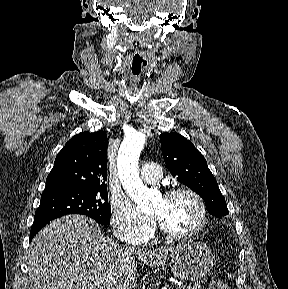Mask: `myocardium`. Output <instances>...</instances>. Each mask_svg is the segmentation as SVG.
<instances>
[{
	"instance_id": "f54148a6",
	"label": "myocardium",
	"mask_w": 288,
	"mask_h": 289,
	"mask_svg": "<svg viewBox=\"0 0 288 289\" xmlns=\"http://www.w3.org/2000/svg\"><path fill=\"white\" fill-rule=\"evenodd\" d=\"M180 195H188L192 197L195 202L197 203V206L199 208V220L196 223V225L189 231L183 232V233H176L171 230H169L165 224H163L160 220L154 218V221L159 229V231L168 239L171 240H187L195 237L198 235L203 228L205 227L207 223V208L206 204L203 200V198L193 189L186 188V187H179V188H173L166 191L162 198L164 200H170L172 198H175Z\"/></svg>"
}]
</instances>
